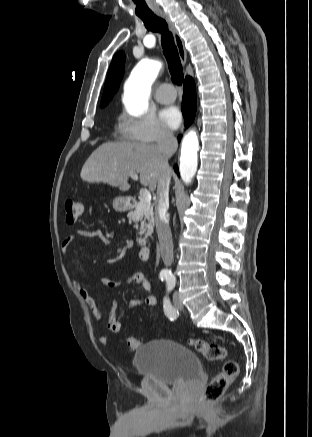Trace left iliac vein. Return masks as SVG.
Masks as SVG:
<instances>
[{
	"label": "left iliac vein",
	"instance_id": "4c4485c4",
	"mask_svg": "<svg viewBox=\"0 0 312 437\" xmlns=\"http://www.w3.org/2000/svg\"><path fill=\"white\" fill-rule=\"evenodd\" d=\"M173 303H174V306L176 307V309H178V310H182L183 305H182V303H181V301H180V299H179V294H178V292H175V293L173 294Z\"/></svg>",
	"mask_w": 312,
	"mask_h": 437
}]
</instances>
